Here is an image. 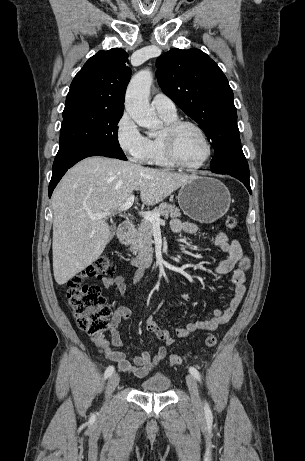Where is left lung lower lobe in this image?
Returning a JSON list of instances; mask_svg holds the SVG:
<instances>
[{
    "label": "left lung lower lobe",
    "instance_id": "1",
    "mask_svg": "<svg viewBox=\"0 0 305 461\" xmlns=\"http://www.w3.org/2000/svg\"><path fill=\"white\" fill-rule=\"evenodd\" d=\"M220 174H228V175H231V176L237 178L238 180H240L246 186V188L248 189V191L251 194L249 174H244V173H240V172H221Z\"/></svg>",
    "mask_w": 305,
    "mask_h": 461
}]
</instances>
